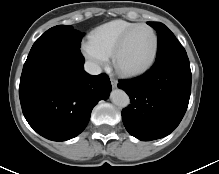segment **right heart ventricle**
<instances>
[{
    "label": "right heart ventricle",
    "mask_w": 219,
    "mask_h": 174,
    "mask_svg": "<svg viewBox=\"0 0 219 174\" xmlns=\"http://www.w3.org/2000/svg\"><path fill=\"white\" fill-rule=\"evenodd\" d=\"M138 24L123 19L106 22L90 33L89 41L110 57L122 36Z\"/></svg>",
    "instance_id": "1"
}]
</instances>
